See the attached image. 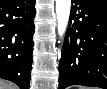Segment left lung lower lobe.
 I'll return each mask as SVG.
<instances>
[{
  "instance_id": "left-lung-lower-lobe-1",
  "label": "left lung lower lobe",
  "mask_w": 107,
  "mask_h": 89,
  "mask_svg": "<svg viewBox=\"0 0 107 89\" xmlns=\"http://www.w3.org/2000/svg\"><path fill=\"white\" fill-rule=\"evenodd\" d=\"M72 2L59 63V89L71 85L107 89V3Z\"/></svg>"
}]
</instances>
